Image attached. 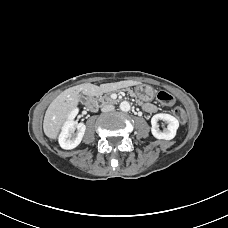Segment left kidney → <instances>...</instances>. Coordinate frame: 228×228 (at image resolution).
Returning <instances> with one entry per match:
<instances>
[{"instance_id":"left-kidney-1","label":"left kidney","mask_w":228,"mask_h":228,"mask_svg":"<svg viewBox=\"0 0 228 228\" xmlns=\"http://www.w3.org/2000/svg\"><path fill=\"white\" fill-rule=\"evenodd\" d=\"M159 120H163L167 123V128L164 129L163 131H160L158 128L157 122ZM151 124H152V128H151L152 135L155 138L161 139V140L173 139L179 127L178 120L174 116L170 114H165V113H159L154 115L151 119Z\"/></svg>"}]
</instances>
